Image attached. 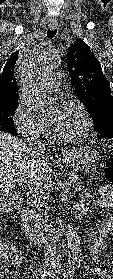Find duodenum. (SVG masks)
Listing matches in <instances>:
<instances>
[{"label":"duodenum","instance_id":"duodenum-1","mask_svg":"<svg viewBox=\"0 0 113 279\" xmlns=\"http://www.w3.org/2000/svg\"><path fill=\"white\" fill-rule=\"evenodd\" d=\"M86 204L79 203L69 214V219L81 217L86 212ZM21 229L24 236L33 242L46 240L48 243H56L67 226L66 221L58 225H46L44 227L37 226L32 222L30 210L27 207L21 208Z\"/></svg>","mask_w":113,"mask_h":279}]
</instances>
